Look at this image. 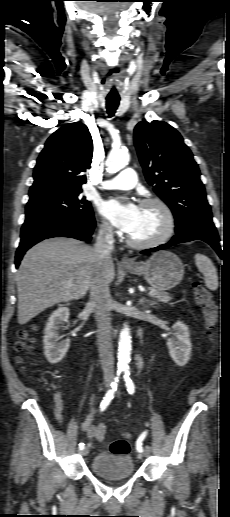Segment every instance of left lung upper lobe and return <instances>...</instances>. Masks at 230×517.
<instances>
[{"mask_svg": "<svg viewBox=\"0 0 230 517\" xmlns=\"http://www.w3.org/2000/svg\"><path fill=\"white\" fill-rule=\"evenodd\" d=\"M134 142L146 180L173 212L176 234L211 222L198 165L180 133L162 121H142Z\"/></svg>", "mask_w": 230, "mask_h": 517, "instance_id": "1", "label": "left lung upper lobe"}]
</instances>
